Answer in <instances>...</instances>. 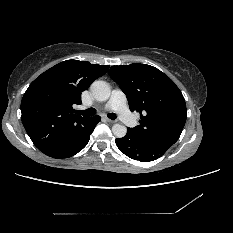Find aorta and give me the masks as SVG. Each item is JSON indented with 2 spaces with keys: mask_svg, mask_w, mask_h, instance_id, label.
I'll return each instance as SVG.
<instances>
[{
  "mask_svg": "<svg viewBox=\"0 0 233 233\" xmlns=\"http://www.w3.org/2000/svg\"><path fill=\"white\" fill-rule=\"evenodd\" d=\"M91 92L97 101H106L111 94L110 85L105 81H94L91 85ZM112 132L117 138H122L127 133V128L124 125L114 124Z\"/></svg>",
  "mask_w": 233,
  "mask_h": 233,
  "instance_id": "obj_1",
  "label": "aorta"
}]
</instances>
